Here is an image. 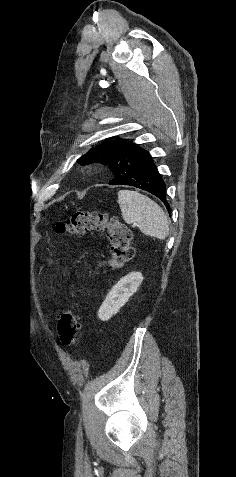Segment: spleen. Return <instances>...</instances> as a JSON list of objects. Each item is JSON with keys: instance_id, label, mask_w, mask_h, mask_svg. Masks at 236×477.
Returning a JSON list of instances; mask_svg holds the SVG:
<instances>
[{"instance_id": "1", "label": "spleen", "mask_w": 236, "mask_h": 477, "mask_svg": "<svg viewBox=\"0 0 236 477\" xmlns=\"http://www.w3.org/2000/svg\"><path fill=\"white\" fill-rule=\"evenodd\" d=\"M118 204L127 224L135 223L147 236L162 240L168 236L169 224L164 211L147 196L132 190H120Z\"/></svg>"}]
</instances>
